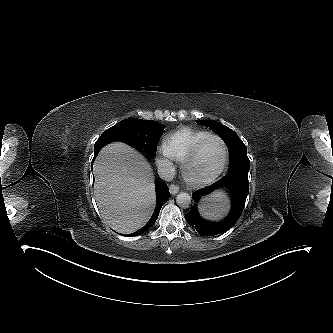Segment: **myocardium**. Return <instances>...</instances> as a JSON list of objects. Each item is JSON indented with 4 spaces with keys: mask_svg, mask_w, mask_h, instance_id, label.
<instances>
[{
    "mask_svg": "<svg viewBox=\"0 0 333 333\" xmlns=\"http://www.w3.org/2000/svg\"><path fill=\"white\" fill-rule=\"evenodd\" d=\"M211 139H217L223 145L224 156H223L222 163L219 166V168L211 176L206 177V178H195L190 174L189 166L197 158V156H198L200 150L202 149V147L204 146V144ZM228 159H229V150H228V146H227V143L225 142V140L222 137H220L219 135L210 134V135L204 137L203 139H201L198 143H196L195 146L188 153V155L185 157V159L182 161V165H181L182 175H183L184 179L192 186L200 187V186L208 185V184L214 182L222 174V172L224 171V169L227 165Z\"/></svg>",
    "mask_w": 333,
    "mask_h": 333,
    "instance_id": "f54148a6",
    "label": "myocardium"
}]
</instances>
